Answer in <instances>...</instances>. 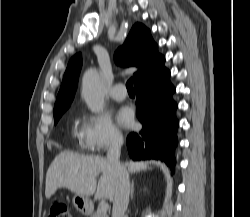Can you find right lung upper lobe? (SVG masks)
<instances>
[{"instance_id": "cb5924a9", "label": "right lung upper lobe", "mask_w": 250, "mask_h": 217, "mask_svg": "<svg viewBox=\"0 0 250 217\" xmlns=\"http://www.w3.org/2000/svg\"><path fill=\"white\" fill-rule=\"evenodd\" d=\"M163 56L158 53L149 29L136 23L129 33L125 43L115 53L114 59L122 66H135L139 70L134 73V83L146 74ZM82 65L81 54L74 55L67 66L60 91L54 106V114L65 112L76 92L78 77Z\"/></svg>"}]
</instances>
